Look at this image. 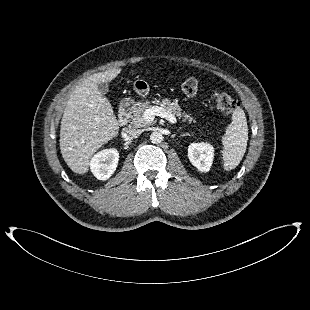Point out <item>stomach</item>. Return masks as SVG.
Here are the masks:
<instances>
[{
	"mask_svg": "<svg viewBox=\"0 0 310 310\" xmlns=\"http://www.w3.org/2000/svg\"><path fill=\"white\" fill-rule=\"evenodd\" d=\"M133 88L135 92L142 97L147 96L150 90L148 82L144 79L139 78L133 82Z\"/></svg>",
	"mask_w": 310,
	"mask_h": 310,
	"instance_id": "1",
	"label": "stomach"
}]
</instances>
